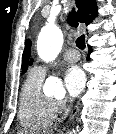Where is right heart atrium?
<instances>
[{"instance_id":"d8ad5b80","label":"right heart atrium","mask_w":116,"mask_h":134,"mask_svg":"<svg viewBox=\"0 0 116 134\" xmlns=\"http://www.w3.org/2000/svg\"><path fill=\"white\" fill-rule=\"evenodd\" d=\"M53 104H54V109L56 113L64 112L68 107V103L65 99L53 100Z\"/></svg>"}]
</instances>
